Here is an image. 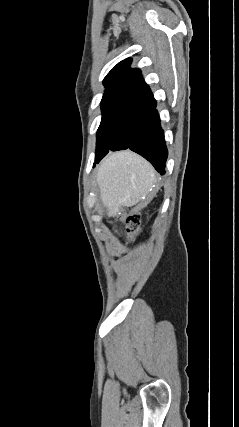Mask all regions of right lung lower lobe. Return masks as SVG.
<instances>
[{
	"label": "right lung lower lobe",
	"mask_w": 239,
	"mask_h": 427,
	"mask_svg": "<svg viewBox=\"0 0 239 427\" xmlns=\"http://www.w3.org/2000/svg\"><path fill=\"white\" fill-rule=\"evenodd\" d=\"M148 101L150 102L149 112L134 129L128 146L123 149L128 148L143 156L163 175L168 151L163 130L160 126V118L156 110V101L154 98Z\"/></svg>",
	"instance_id": "98d812e1"
}]
</instances>
